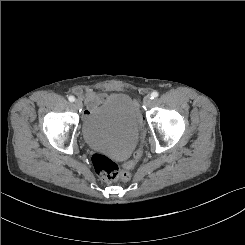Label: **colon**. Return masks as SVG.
<instances>
[{
  "mask_svg": "<svg viewBox=\"0 0 245 245\" xmlns=\"http://www.w3.org/2000/svg\"><path fill=\"white\" fill-rule=\"evenodd\" d=\"M141 157L140 149L136 150L133 154V158L124 165V169H121L113 160L103 154H94L92 157V163L98 177L105 182H113L117 180L127 181L131 177L129 172L136 162Z\"/></svg>",
  "mask_w": 245,
  "mask_h": 245,
  "instance_id": "1",
  "label": "colon"
}]
</instances>
